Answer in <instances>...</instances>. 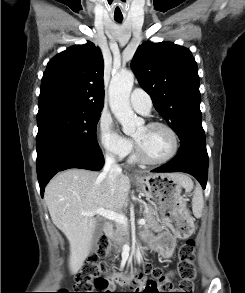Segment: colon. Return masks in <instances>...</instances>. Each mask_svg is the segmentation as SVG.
<instances>
[{
  "label": "colon",
  "mask_w": 245,
  "mask_h": 293,
  "mask_svg": "<svg viewBox=\"0 0 245 293\" xmlns=\"http://www.w3.org/2000/svg\"><path fill=\"white\" fill-rule=\"evenodd\" d=\"M192 220L189 216L175 221L172 232L177 236H183L190 232ZM113 246L108 238L101 237L99 240V251L97 258H91L83 265L82 270L76 276V287L82 291L79 293H104L109 292L113 286V280L107 278L105 274L109 271L113 262ZM178 273L180 280L166 287L167 293H193L196 270L194 265L195 259V241L188 240L178 251ZM163 270L158 267H152L148 264L142 266L140 271L127 272L122 282L128 287L140 286L143 279L151 277L155 282L163 278ZM156 290L151 285H146L143 293H153ZM98 291V292H92Z\"/></svg>",
  "instance_id": "1"
}]
</instances>
